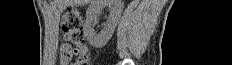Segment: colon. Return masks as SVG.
<instances>
[{"mask_svg":"<svg viewBox=\"0 0 232 65\" xmlns=\"http://www.w3.org/2000/svg\"><path fill=\"white\" fill-rule=\"evenodd\" d=\"M62 30L66 41L75 47L74 52L77 54L75 65H87L88 57L80 51L84 43L83 19L81 14L76 10H68L62 19ZM69 44L66 45L70 48L72 55V49ZM70 57L63 58V60L67 61Z\"/></svg>","mask_w":232,"mask_h":65,"instance_id":"1","label":"colon"}]
</instances>
